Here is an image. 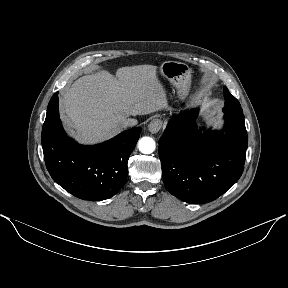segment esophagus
<instances>
[{
    "instance_id": "1",
    "label": "esophagus",
    "mask_w": 288,
    "mask_h": 288,
    "mask_svg": "<svg viewBox=\"0 0 288 288\" xmlns=\"http://www.w3.org/2000/svg\"><path fill=\"white\" fill-rule=\"evenodd\" d=\"M163 122L159 118H154L151 120V122L148 125V130L152 133L155 134L157 133L161 128H162Z\"/></svg>"
}]
</instances>
